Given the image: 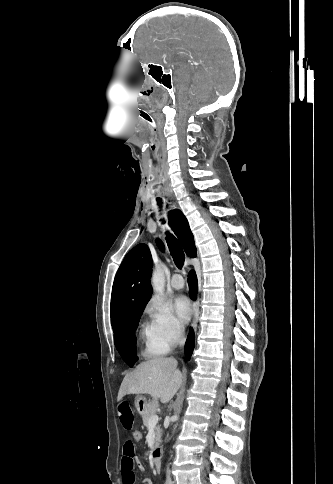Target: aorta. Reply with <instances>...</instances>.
I'll return each instance as SVG.
<instances>
[{
  "instance_id": "aorta-1",
  "label": "aorta",
  "mask_w": 333,
  "mask_h": 484,
  "mask_svg": "<svg viewBox=\"0 0 333 484\" xmlns=\"http://www.w3.org/2000/svg\"><path fill=\"white\" fill-rule=\"evenodd\" d=\"M151 283H152L154 291L159 296H163L164 291H165V279H164L163 274L160 271L155 270L153 272V275H152V278H151ZM175 419L178 420V417L175 416ZM176 426L177 425H175L174 429L176 428Z\"/></svg>"
}]
</instances>
